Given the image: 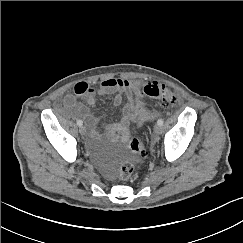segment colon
<instances>
[{"label": "colon", "mask_w": 243, "mask_h": 243, "mask_svg": "<svg viewBox=\"0 0 243 243\" xmlns=\"http://www.w3.org/2000/svg\"><path fill=\"white\" fill-rule=\"evenodd\" d=\"M143 93L152 98L164 107H174L178 103V97L173 90L164 84L156 81H148L143 87ZM128 149L136 154L139 158H144L147 155V151L144 143L138 138H132L127 143ZM134 171V166L130 161H124L120 165L119 178L123 182H127L131 179Z\"/></svg>", "instance_id": "1"}]
</instances>
